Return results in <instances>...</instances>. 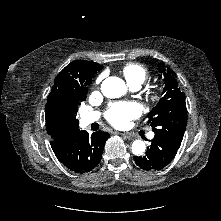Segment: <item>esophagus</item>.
<instances>
[{
  "mask_svg": "<svg viewBox=\"0 0 221 221\" xmlns=\"http://www.w3.org/2000/svg\"><path fill=\"white\" fill-rule=\"evenodd\" d=\"M119 134L126 139H133L134 138V136L130 133H119Z\"/></svg>",
  "mask_w": 221,
  "mask_h": 221,
  "instance_id": "obj_1",
  "label": "esophagus"
}]
</instances>
